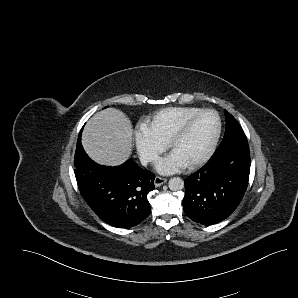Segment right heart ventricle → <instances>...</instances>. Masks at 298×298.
<instances>
[{
    "mask_svg": "<svg viewBox=\"0 0 298 298\" xmlns=\"http://www.w3.org/2000/svg\"><path fill=\"white\" fill-rule=\"evenodd\" d=\"M202 110L194 106L169 107L156 112L150 119L151 130L166 140L172 129L190 115Z\"/></svg>",
    "mask_w": 298,
    "mask_h": 298,
    "instance_id": "obj_1",
    "label": "right heart ventricle"
}]
</instances>
